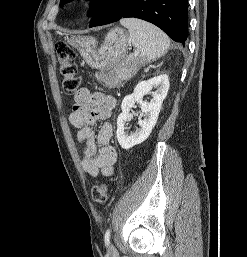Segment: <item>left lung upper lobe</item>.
Returning <instances> with one entry per match:
<instances>
[{
    "label": "left lung upper lobe",
    "mask_w": 247,
    "mask_h": 257,
    "mask_svg": "<svg viewBox=\"0 0 247 257\" xmlns=\"http://www.w3.org/2000/svg\"><path fill=\"white\" fill-rule=\"evenodd\" d=\"M72 0H61L60 1V7H63L66 3L70 2ZM92 2V9L88 12L89 16H92L94 12L99 8V6L104 2V0H90Z\"/></svg>",
    "instance_id": "left-lung-upper-lobe-1"
}]
</instances>
